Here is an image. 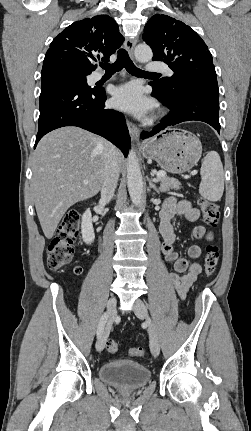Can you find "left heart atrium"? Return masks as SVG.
<instances>
[{
  "instance_id": "1",
  "label": "left heart atrium",
  "mask_w": 251,
  "mask_h": 431,
  "mask_svg": "<svg viewBox=\"0 0 251 431\" xmlns=\"http://www.w3.org/2000/svg\"><path fill=\"white\" fill-rule=\"evenodd\" d=\"M114 107L143 115L151 110L152 102L143 96L141 88L137 84H126L117 88L112 97Z\"/></svg>"
}]
</instances>
